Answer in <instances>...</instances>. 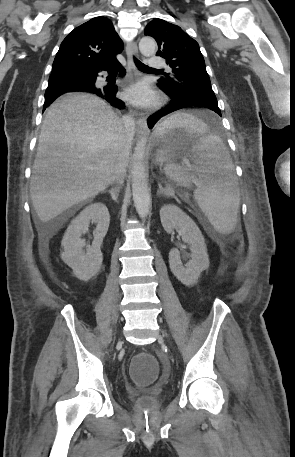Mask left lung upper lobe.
<instances>
[{
  "instance_id": "obj_1",
  "label": "left lung upper lobe",
  "mask_w": 295,
  "mask_h": 457,
  "mask_svg": "<svg viewBox=\"0 0 295 457\" xmlns=\"http://www.w3.org/2000/svg\"><path fill=\"white\" fill-rule=\"evenodd\" d=\"M145 35L156 40V55L165 58L172 68L159 80L161 90L176 98L214 94L198 43L179 26L156 18L147 24Z\"/></svg>"
}]
</instances>
